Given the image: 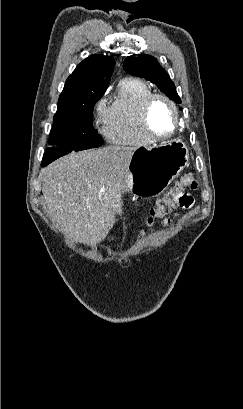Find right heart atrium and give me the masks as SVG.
Returning a JSON list of instances; mask_svg holds the SVG:
<instances>
[{"label": "right heart atrium", "instance_id": "right-heart-atrium-1", "mask_svg": "<svg viewBox=\"0 0 243 409\" xmlns=\"http://www.w3.org/2000/svg\"><path fill=\"white\" fill-rule=\"evenodd\" d=\"M108 120H109V107L107 105L106 99L103 97L96 104L94 123L98 131L104 135L107 134Z\"/></svg>", "mask_w": 243, "mask_h": 409}]
</instances>
